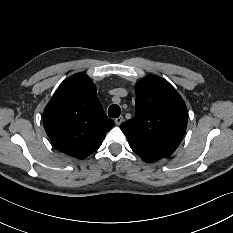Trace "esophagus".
I'll list each match as a JSON object with an SVG mask.
<instances>
[{"instance_id": "obj_1", "label": "esophagus", "mask_w": 233, "mask_h": 233, "mask_svg": "<svg viewBox=\"0 0 233 233\" xmlns=\"http://www.w3.org/2000/svg\"><path fill=\"white\" fill-rule=\"evenodd\" d=\"M123 119H124L123 116H119L118 118L115 119V124L119 126L122 123Z\"/></svg>"}]
</instances>
